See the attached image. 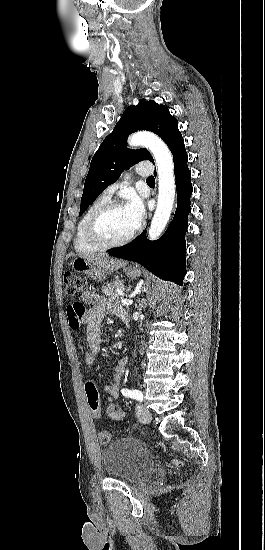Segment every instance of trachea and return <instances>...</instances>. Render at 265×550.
<instances>
[{
  "mask_svg": "<svg viewBox=\"0 0 265 550\" xmlns=\"http://www.w3.org/2000/svg\"><path fill=\"white\" fill-rule=\"evenodd\" d=\"M146 182H147V183L155 182V179H154L153 176H149V177L146 179Z\"/></svg>",
  "mask_w": 265,
  "mask_h": 550,
  "instance_id": "1",
  "label": "trachea"
}]
</instances>
